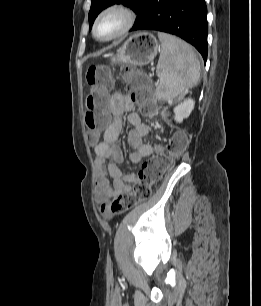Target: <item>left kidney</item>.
I'll return each mask as SVG.
<instances>
[{
  "instance_id": "1",
  "label": "left kidney",
  "mask_w": 261,
  "mask_h": 306,
  "mask_svg": "<svg viewBox=\"0 0 261 306\" xmlns=\"http://www.w3.org/2000/svg\"><path fill=\"white\" fill-rule=\"evenodd\" d=\"M195 101L191 98L184 100L174 108V119L181 123L183 119L188 118L194 109Z\"/></svg>"
}]
</instances>
